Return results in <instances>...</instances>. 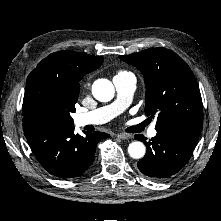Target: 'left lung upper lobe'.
Instances as JSON below:
<instances>
[{"mask_svg": "<svg viewBox=\"0 0 221 221\" xmlns=\"http://www.w3.org/2000/svg\"><path fill=\"white\" fill-rule=\"evenodd\" d=\"M119 58L144 75L145 113L150 117L157 116L156 130L174 127L202 130L203 106L199 87L182 58L166 48H150Z\"/></svg>", "mask_w": 221, "mask_h": 221, "instance_id": "obj_1", "label": "left lung upper lobe"}]
</instances>
